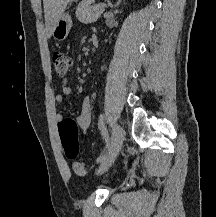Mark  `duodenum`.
Masks as SVG:
<instances>
[{
  "mask_svg": "<svg viewBox=\"0 0 216 217\" xmlns=\"http://www.w3.org/2000/svg\"><path fill=\"white\" fill-rule=\"evenodd\" d=\"M91 43H92L94 46H97V45L99 44V38H98V36L93 35V36L91 37Z\"/></svg>",
  "mask_w": 216,
  "mask_h": 217,
  "instance_id": "1",
  "label": "duodenum"
}]
</instances>
